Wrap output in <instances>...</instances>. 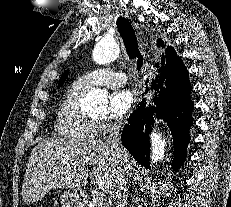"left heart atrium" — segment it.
Instances as JSON below:
<instances>
[{"instance_id":"1","label":"left heart atrium","mask_w":231,"mask_h":207,"mask_svg":"<svg viewBox=\"0 0 231 207\" xmlns=\"http://www.w3.org/2000/svg\"><path fill=\"white\" fill-rule=\"evenodd\" d=\"M135 101L134 93L129 89H118L109 99L111 116L121 118L132 108Z\"/></svg>"}]
</instances>
